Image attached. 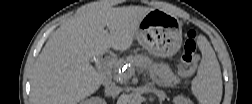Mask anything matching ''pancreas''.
Returning <instances> with one entry per match:
<instances>
[{
	"instance_id": "pancreas-1",
	"label": "pancreas",
	"mask_w": 252,
	"mask_h": 104,
	"mask_svg": "<svg viewBox=\"0 0 252 104\" xmlns=\"http://www.w3.org/2000/svg\"><path fill=\"white\" fill-rule=\"evenodd\" d=\"M127 61L131 62V69L134 70L136 68H144V69H151L153 66L154 68V81L159 84H163L166 86H171L174 84H177L179 82L178 77L172 72V70L169 68L166 64L161 65H153L152 61L144 55H137L134 57H130L127 59ZM122 62L115 61L110 66V73L114 74L119 68L122 67ZM124 78H129V74L122 75Z\"/></svg>"
}]
</instances>
